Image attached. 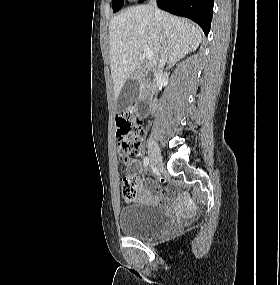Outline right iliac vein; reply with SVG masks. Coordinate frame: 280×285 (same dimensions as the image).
<instances>
[{"label": "right iliac vein", "mask_w": 280, "mask_h": 285, "mask_svg": "<svg viewBox=\"0 0 280 285\" xmlns=\"http://www.w3.org/2000/svg\"><path fill=\"white\" fill-rule=\"evenodd\" d=\"M150 164L154 169H162V161L159 153V146L155 140L149 142Z\"/></svg>", "instance_id": "obj_1"}]
</instances>
